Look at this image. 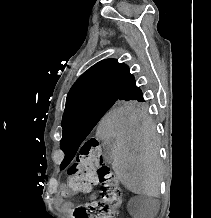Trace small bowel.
Instances as JSON below:
<instances>
[{
  "instance_id": "obj_1",
  "label": "small bowel",
  "mask_w": 211,
  "mask_h": 218,
  "mask_svg": "<svg viewBox=\"0 0 211 218\" xmlns=\"http://www.w3.org/2000/svg\"><path fill=\"white\" fill-rule=\"evenodd\" d=\"M68 192L67 190L63 187L61 191L56 195L55 197V203L59 205L62 209L69 211L72 208L71 203L66 201V196Z\"/></svg>"
}]
</instances>
